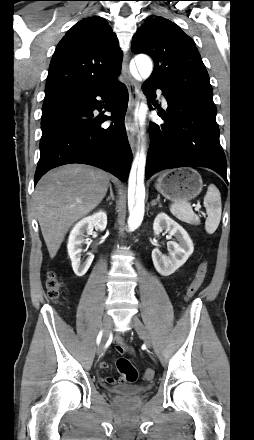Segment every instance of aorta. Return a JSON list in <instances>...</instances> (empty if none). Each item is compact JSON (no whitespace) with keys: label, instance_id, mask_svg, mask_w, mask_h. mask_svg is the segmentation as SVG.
Returning <instances> with one entry per match:
<instances>
[{"label":"aorta","instance_id":"1","mask_svg":"<svg viewBox=\"0 0 254 440\" xmlns=\"http://www.w3.org/2000/svg\"><path fill=\"white\" fill-rule=\"evenodd\" d=\"M135 63L140 76L143 79H147L153 70V64L151 59L147 55H137L135 57ZM148 106L142 103L139 109L136 111V116H139L140 124L144 127L145 118L147 114ZM145 165H146V153L145 146H141L140 152H138L131 169L129 177L128 188V226L131 230L140 226L143 221L145 211Z\"/></svg>","mask_w":254,"mask_h":440}]
</instances>
